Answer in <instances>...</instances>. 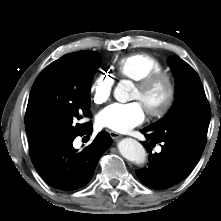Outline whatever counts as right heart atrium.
Returning a JSON list of instances; mask_svg holds the SVG:
<instances>
[{"mask_svg":"<svg viewBox=\"0 0 221 221\" xmlns=\"http://www.w3.org/2000/svg\"><path fill=\"white\" fill-rule=\"evenodd\" d=\"M114 81L107 73L98 74L90 85V94L93 103L101 105L109 101Z\"/></svg>","mask_w":221,"mask_h":221,"instance_id":"d8ad5b80","label":"right heart atrium"}]
</instances>
